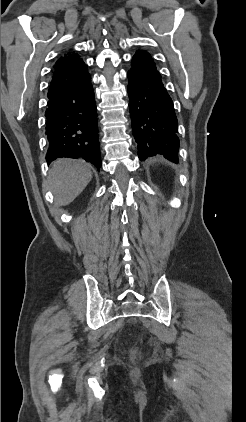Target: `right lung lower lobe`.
<instances>
[{
    "instance_id": "98d812e1",
    "label": "right lung lower lobe",
    "mask_w": 246,
    "mask_h": 422,
    "mask_svg": "<svg viewBox=\"0 0 246 422\" xmlns=\"http://www.w3.org/2000/svg\"><path fill=\"white\" fill-rule=\"evenodd\" d=\"M91 76L48 94V164L57 158H81L101 167L97 112Z\"/></svg>"
}]
</instances>
